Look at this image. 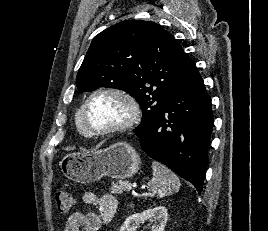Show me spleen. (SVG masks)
Returning a JSON list of instances; mask_svg holds the SVG:
<instances>
[{
    "label": "spleen",
    "instance_id": "obj_1",
    "mask_svg": "<svg viewBox=\"0 0 268 231\" xmlns=\"http://www.w3.org/2000/svg\"><path fill=\"white\" fill-rule=\"evenodd\" d=\"M153 177L147 184V189L158 198L172 195L180 188V180L178 176L163 164L152 162Z\"/></svg>",
    "mask_w": 268,
    "mask_h": 231
}]
</instances>
